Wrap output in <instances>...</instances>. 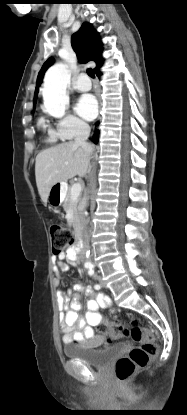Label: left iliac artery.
Segmentation results:
<instances>
[{"mask_svg": "<svg viewBox=\"0 0 187 415\" xmlns=\"http://www.w3.org/2000/svg\"><path fill=\"white\" fill-rule=\"evenodd\" d=\"M88 274L90 276H93L94 275V269H93V266L92 265L89 267ZM95 289H97V290L100 289V285L96 284L95 285Z\"/></svg>", "mask_w": 187, "mask_h": 415, "instance_id": "1", "label": "left iliac artery"}]
</instances>
